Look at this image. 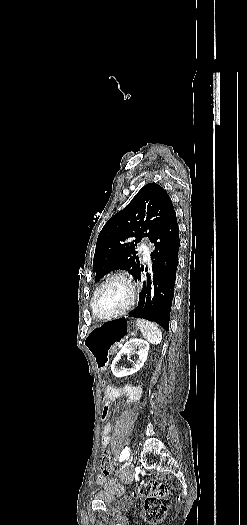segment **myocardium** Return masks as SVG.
<instances>
[{
  "instance_id": "1",
  "label": "myocardium",
  "mask_w": 247,
  "mask_h": 525,
  "mask_svg": "<svg viewBox=\"0 0 247 525\" xmlns=\"http://www.w3.org/2000/svg\"><path fill=\"white\" fill-rule=\"evenodd\" d=\"M114 279H121V280L126 281L129 284L130 297L119 308H116V309H114L112 311H107V312L101 311L96 306L97 294H98L99 290L101 289V287L105 283H107V282H109L111 280H114ZM134 301H135V280H134L133 276L131 274H129V273H126V272H114V273L110 274L108 277H106L105 279H103L101 282L98 283V285L96 286V288H95V290L93 292V295L91 297L90 306H91L93 314L96 317H115V316H118V315H122L126 311H128L130 309V307L134 304Z\"/></svg>"
}]
</instances>
